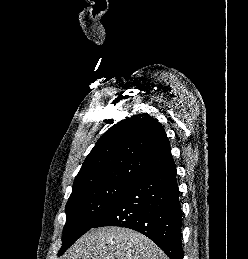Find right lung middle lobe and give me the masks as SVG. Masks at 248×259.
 Wrapping results in <instances>:
<instances>
[{
  "mask_svg": "<svg viewBox=\"0 0 248 259\" xmlns=\"http://www.w3.org/2000/svg\"><path fill=\"white\" fill-rule=\"evenodd\" d=\"M131 182L111 180L72 190L66 204L62 255L79 237L93 228L117 203Z\"/></svg>",
  "mask_w": 248,
  "mask_h": 259,
  "instance_id": "right-lung-middle-lobe-1",
  "label": "right lung middle lobe"
}]
</instances>
